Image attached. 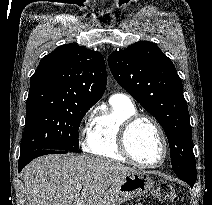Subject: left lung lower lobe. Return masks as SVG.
I'll list each match as a JSON object with an SVG mask.
<instances>
[{"label": "left lung lower lobe", "mask_w": 212, "mask_h": 205, "mask_svg": "<svg viewBox=\"0 0 212 205\" xmlns=\"http://www.w3.org/2000/svg\"><path fill=\"white\" fill-rule=\"evenodd\" d=\"M177 176L185 181L186 183H188L190 185V187L192 188L196 182V176L194 175H190V174H177Z\"/></svg>", "instance_id": "obj_1"}]
</instances>
